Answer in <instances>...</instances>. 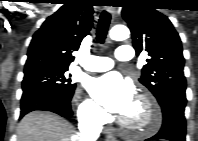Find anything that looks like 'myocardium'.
Segmentation results:
<instances>
[{
	"label": "myocardium",
	"mask_w": 198,
	"mask_h": 141,
	"mask_svg": "<svg viewBox=\"0 0 198 141\" xmlns=\"http://www.w3.org/2000/svg\"><path fill=\"white\" fill-rule=\"evenodd\" d=\"M136 101L145 108L146 123L141 126L134 125L123 117L119 120L121 126L135 134L154 132L158 128L161 120L159 109L155 101L145 94H140Z\"/></svg>",
	"instance_id": "f54148a6"
}]
</instances>
